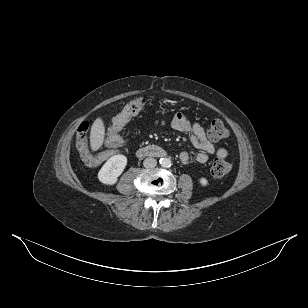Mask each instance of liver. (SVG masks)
Instances as JSON below:
<instances>
[{
	"instance_id": "6515ba94",
	"label": "liver",
	"mask_w": 308,
	"mask_h": 308,
	"mask_svg": "<svg viewBox=\"0 0 308 308\" xmlns=\"http://www.w3.org/2000/svg\"><path fill=\"white\" fill-rule=\"evenodd\" d=\"M105 137V126L101 118H97L91 127L90 146L92 151H97L103 144Z\"/></svg>"
}]
</instances>
